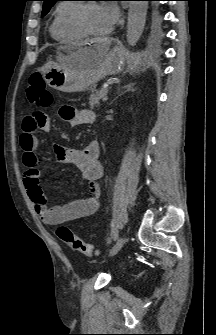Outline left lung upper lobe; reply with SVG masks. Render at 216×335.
<instances>
[{
	"mask_svg": "<svg viewBox=\"0 0 216 335\" xmlns=\"http://www.w3.org/2000/svg\"><path fill=\"white\" fill-rule=\"evenodd\" d=\"M44 1L43 10L41 16H45L50 8L59 0H41ZM148 1H159V0H148ZM150 22L153 31L158 32L161 24V15L156 5L150 10Z\"/></svg>",
	"mask_w": 216,
	"mask_h": 335,
	"instance_id": "obj_1",
	"label": "left lung upper lobe"
}]
</instances>
